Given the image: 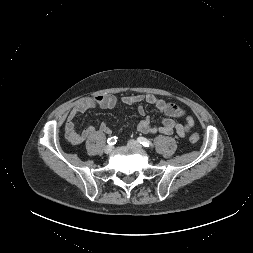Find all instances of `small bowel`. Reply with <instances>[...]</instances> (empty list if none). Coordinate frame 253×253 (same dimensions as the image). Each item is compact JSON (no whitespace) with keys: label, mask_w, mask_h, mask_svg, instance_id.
Segmentation results:
<instances>
[{"label":"small bowel","mask_w":253,"mask_h":253,"mask_svg":"<svg viewBox=\"0 0 253 253\" xmlns=\"http://www.w3.org/2000/svg\"><path fill=\"white\" fill-rule=\"evenodd\" d=\"M121 102L126 105H136L140 115L144 118L138 123L137 129L139 132L147 135L165 134L171 135L173 133L178 134L181 137H185L193 128L194 120L183 109L176 104L161 99L152 94H132L121 97ZM117 103V98L113 95H98L94 97H87L79 100L72 107L68 114L64 131L65 137L72 145H79L83 143L90 135L95 132V127L90 125L82 131L76 129V118L78 115L85 113L87 110L100 107L103 109L114 108ZM143 103L153 105L160 112L165 115L160 126H152L150 119L146 115V110ZM183 118L184 123L177 122L175 119ZM100 130L109 134L110 128L106 123L100 125Z\"/></svg>","instance_id":"1"}]
</instances>
